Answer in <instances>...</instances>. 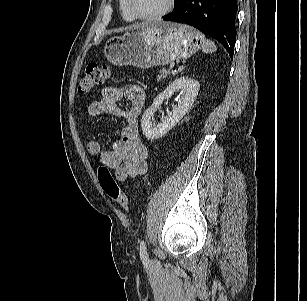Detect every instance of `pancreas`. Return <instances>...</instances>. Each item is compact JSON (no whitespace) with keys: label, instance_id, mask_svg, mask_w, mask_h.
<instances>
[{"label":"pancreas","instance_id":"obj_1","mask_svg":"<svg viewBox=\"0 0 307 301\" xmlns=\"http://www.w3.org/2000/svg\"><path fill=\"white\" fill-rule=\"evenodd\" d=\"M171 73H172V72H171L170 69H162V70L160 71V73L157 75V80H162V79H164V78L170 76Z\"/></svg>","mask_w":307,"mask_h":301}]
</instances>
